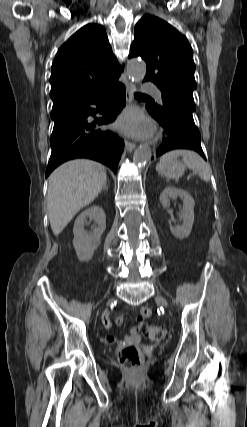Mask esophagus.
Listing matches in <instances>:
<instances>
[{"instance_id": "1", "label": "esophagus", "mask_w": 247, "mask_h": 427, "mask_svg": "<svg viewBox=\"0 0 247 427\" xmlns=\"http://www.w3.org/2000/svg\"><path fill=\"white\" fill-rule=\"evenodd\" d=\"M136 91V86L134 83L129 82L126 85V102L127 104H131L133 102V94ZM125 146L127 151H132L133 149H135L136 144L133 142H130L128 140H125Z\"/></svg>"}]
</instances>
